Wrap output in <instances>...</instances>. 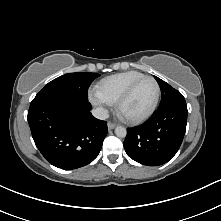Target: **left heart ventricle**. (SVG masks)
Listing matches in <instances>:
<instances>
[{"label":"left heart ventricle","mask_w":221,"mask_h":221,"mask_svg":"<svg viewBox=\"0 0 221 221\" xmlns=\"http://www.w3.org/2000/svg\"><path fill=\"white\" fill-rule=\"evenodd\" d=\"M156 95L153 81L146 79L140 82L132 95L124 104L123 112L128 116H138L146 112L152 105Z\"/></svg>","instance_id":"obj_1"}]
</instances>
